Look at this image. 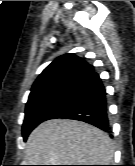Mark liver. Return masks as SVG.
I'll use <instances>...</instances> for the list:
<instances>
[{
	"label": "liver",
	"instance_id": "liver-1",
	"mask_svg": "<svg viewBox=\"0 0 135 166\" xmlns=\"http://www.w3.org/2000/svg\"><path fill=\"white\" fill-rule=\"evenodd\" d=\"M113 157L114 146L108 134L76 120L43 122L26 143L30 165H110Z\"/></svg>",
	"mask_w": 135,
	"mask_h": 166
}]
</instances>
